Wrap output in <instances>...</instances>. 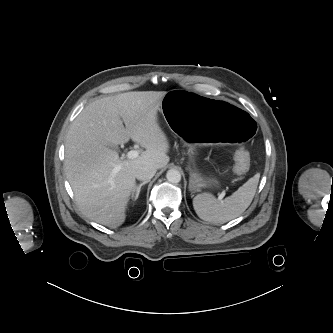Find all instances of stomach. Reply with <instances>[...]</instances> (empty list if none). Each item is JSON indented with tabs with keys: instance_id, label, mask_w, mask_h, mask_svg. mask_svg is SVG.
I'll return each instance as SVG.
<instances>
[{
	"instance_id": "1",
	"label": "stomach",
	"mask_w": 333,
	"mask_h": 333,
	"mask_svg": "<svg viewBox=\"0 0 333 333\" xmlns=\"http://www.w3.org/2000/svg\"><path fill=\"white\" fill-rule=\"evenodd\" d=\"M147 110L153 120L166 119L172 132L189 146L192 154L209 142L243 144L255 133V119L249 110L199 90L169 91L161 101V112L153 104ZM218 186L215 178L202 175L196 168L190 169L191 191Z\"/></svg>"
}]
</instances>
